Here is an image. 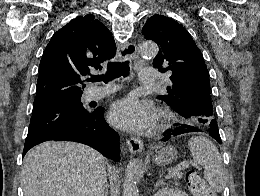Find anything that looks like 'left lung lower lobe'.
I'll list each match as a JSON object with an SVG mask.
<instances>
[{
	"instance_id": "1",
	"label": "left lung lower lobe",
	"mask_w": 260,
	"mask_h": 196,
	"mask_svg": "<svg viewBox=\"0 0 260 196\" xmlns=\"http://www.w3.org/2000/svg\"><path fill=\"white\" fill-rule=\"evenodd\" d=\"M189 114L191 116L206 117V116H211L212 114H214V111L211 110L210 108L205 107V108L194 109V110L190 111ZM197 131L201 132L202 130L199 129L198 127L192 126V125H181L180 127L176 128V129H170V130L165 131L163 133V135L165 136L163 138V141L168 140L171 135L176 136V135L183 134V133L197 132ZM209 135L211 137H213L218 143L221 144V138L219 135V129H218L216 120L212 121V123L210 124Z\"/></svg>"
}]
</instances>
